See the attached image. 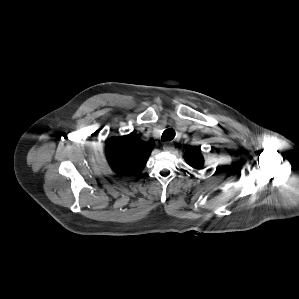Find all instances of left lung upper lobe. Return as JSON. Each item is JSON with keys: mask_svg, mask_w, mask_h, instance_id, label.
Segmentation results:
<instances>
[{"mask_svg": "<svg viewBox=\"0 0 299 299\" xmlns=\"http://www.w3.org/2000/svg\"><path fill=\"white\" fill-rule=\"evenodd\" d=\"M185 159L189 165L193 168L200 169L203 166L204 159L203 156L200 154L199 148H193L186 152Z\"/></svg>", "mask_w": 299, "mask_h": 299, "instance_id": "5c2ea615", "label": "left lung upper lobe"}]
</instances>
